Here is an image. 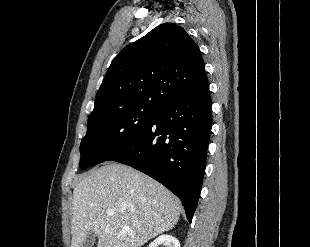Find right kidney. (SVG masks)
Segmentation results:
<instances>
[{
    "mask_svg": "<svg viewBox=\"0 0 310 247\" xmlns=\"http://www.w3.org/2000/svg\"><path fill=\"white\" fill-rule=\"evenodd\" d=\"M148 247H180V242L169 234H163L151 242Z\"/></svg>",
    "mask_w": 310,
    "mask_h": 247,
    "instance_id": "obj_1",
    "label": "right kidney"
}]
</instances>
